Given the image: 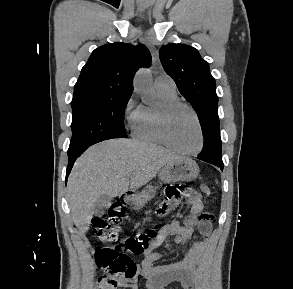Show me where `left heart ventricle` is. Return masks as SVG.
<instances>
[{
  "instance_id": "obj_1",
  "label": "left heart ventricle",
  "mask_w": 293,
  "mask_h": 289,
  "mask_svg": "<svg viewBox=\"0 0 293 289\" xmlns=\"http://www.w3.org/2000/svg\"><path fill=\"white\" fill-rule=\"evenodd\" d=\"M168 135L179 149L192 151L199 143V133L191 112L185 108L175 110L168 120Z\"/></svg>"
}]
</instances>
